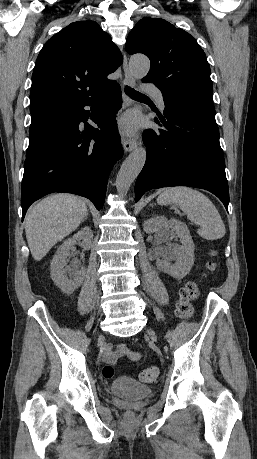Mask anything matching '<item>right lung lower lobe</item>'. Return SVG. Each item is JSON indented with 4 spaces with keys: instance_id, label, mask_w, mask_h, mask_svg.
<instances>
[{
    "instance_id": "right-lung-lower-lobe-1",
    "label": "right lung lower lobe",
    "mask_w": 257,
    "mask_h": 459,
    "mask_svg": "<svg viewBox=\"0 0 257 459\" xmlns=\"http://www.w3.org/2000/svg\"><path fill=\"white\" fill-rule=\"evenodd\" d=\"M120 87L115 83L100 96L31 113L29 146L21 186L22 220L29 206L52 192H67L104 205L108 176L123 155L115 116L121 108ZM92 117L98 131L80 122Z\"/></svg>"
}]
</instances>
